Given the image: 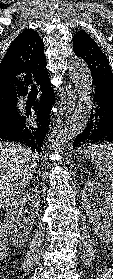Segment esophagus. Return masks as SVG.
<instances>
[{
  "instance_id": "esophagus-1",
  "label": "esophagus",
  "mask_w": 113,
  "mask_h": 279,
  "mask_svg": "<svg viewBox=\"0 0 113 279\" xmlns=\"http://www.w3.org/2000/svg\"><path fill=\"white\" fill-rule=\"evenodd\" d=\"M66 92H67V110L68 112L71 113L75 108V102H76L75 90L69 84L66 86Z\"/></svg>"
}]
</instances>
